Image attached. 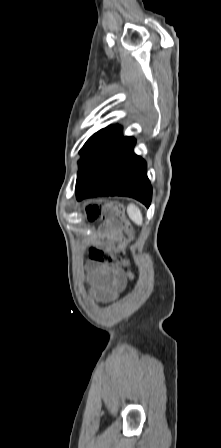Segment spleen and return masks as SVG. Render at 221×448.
<instances>
[{
	"instance_id": "1",
	"label": "spleen",
	"mask_w": 221,
	"mask_h": 448,
	"mask_svg": "<svg viewBox=\"0 0 221 448\" xmlns=\"http://www.w3.org/2000/svg\"><path fill=\"white\" fill-rule=\"evenodd\" d=\"M127 214L129 218L137 225L143 224V217L140 209L133 203L129 204L127 207Z\"/></svg>"
}]
</instances>
